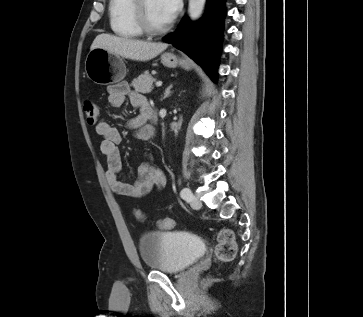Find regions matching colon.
I'll use <instances>...</instances> for the list:
<instances>
[{"label":"colon","instance_id":"colon-1","mask_svg":"<svg viewBox=\"0 0 363 317\" xmlns=\"http://www.w3.org/2000/svg\"><path fill=\"white\" fill-rule=\"evenodd\" d=\"M84 115L89 125H95L98 122L99 110L93 101H86L83 105ZM135 215L139 220L144 219L141 211L135 210ZM162 229H172L175 226V220L171 217H165L158 222ZM237 252V245L234 235L229 229H222L217 235V245L215 247L216 259L221 263H227L234 260Z\"/></svg>","mask_w":363,"mask_h":317}]
</instances>
